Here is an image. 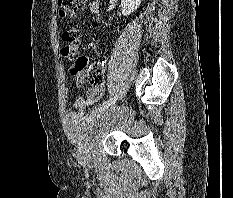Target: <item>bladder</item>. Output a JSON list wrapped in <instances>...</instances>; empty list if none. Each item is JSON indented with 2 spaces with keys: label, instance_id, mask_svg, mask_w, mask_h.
Wrapping results in <instances>:
<instances>
[{
  "label": "bladder",
  "instance_id": "obj_1",
  "mask_svg": "<svg viewBox=\"0 0 233 198\" xmlns=\"http://www.w3.org/2000/svg\"><path fill=\"white\" fill-rule=\"evenodd\" d=\"M123 122V118L107 110L95 109L89 114H71L67 121V130L75 145L82 151H88L101 140L104 134Z\"/></svg>",
  "mask_w": 233,
  "mask_h": 198
}]
</instances>
